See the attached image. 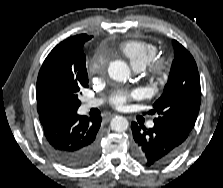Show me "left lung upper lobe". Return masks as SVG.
<instances>
[{
	"mask_svg": "<svg viewBox=\"0 0 223 188\" xmlns=\"http://www.w3.org/2000/svg\"><path fill=\"white\" fill-rule=\"evenodd\" d=\"M173 46L175 59L168 82L151 112L158 114L154 123L161 125L184 145L200 108V77L190 52L176 40H173Z\"/></svg>",
	"mask_w": 223,
	"mask_h": 188,
	"instance_id": "1",
	"label": "left lung upper lobe"
}]
</instances>
